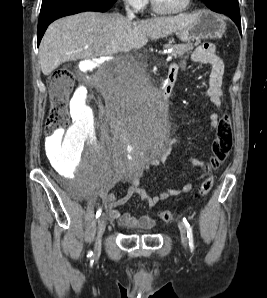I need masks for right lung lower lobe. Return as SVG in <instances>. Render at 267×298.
Wrapping results in <instances>:
<instances>
[{
	"instance_id": "obj_1",
	"label": "right lung lower lobe",
	"mask_w": 267,
	"mask_h": 298,
	"mask_svg": "<svg viewBox=\"0 0 267 298\" xmlns=\"http://www.w3.org/2000/svg\"><path fill=\"white\" fill-rule=\"evenodd\" d=\"M117 0H43L39 15L37 44L54 20L83 11L106 12Z\"/></svg>"
}]
</instances>
